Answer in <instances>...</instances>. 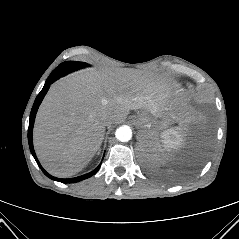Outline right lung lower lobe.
<instances>
[{"mask_svg":"<svg viewBox=\"0 0 239 239\" xmlns=\"http://www.w3.org/2000/svg\"><path fill=\"white\" fill-rule=\"evenodd\" d=\"M54 81L53 80H47L45 82V85L43 87V89L41 90V92L38 94V96L35 99V102L33 104L32 110H31V114H30V120H29V127H28V142H29V147H30V151L34 157V159L36 160L37 164L39 165V167L41 168V170L43 171V173L49 177L52 180H56L62 183H76L79 181H82L84 179H87L89 177H91L92 175H94L100 168V166H98L96 169H94L92 172L87 173L85 175L79 176V177H75V178H70V179H61V178H56L51 176L50 174H48L40 165V163L38 162V159L36 157V154L34 152V148H33V141H32V131H33V125H34V120H35V116L38 110V107L43 99V97L45 96V94L47 93L50 84H52Z\"/></svg>","mask_w":239,"mask_h":239,"instance_id":"1","label":"right lung lower lobe"}]
</instances>
